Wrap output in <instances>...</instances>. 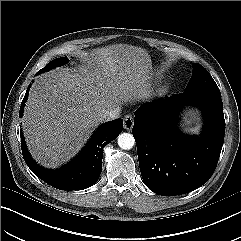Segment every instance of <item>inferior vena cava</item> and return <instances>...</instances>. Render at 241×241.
Segmentation results:
<instances>
[{"instance_id": "inferior-vena-cava-1", "label": "inferior vena cava", "mask_w": 241, "mask_h": 241, "mask_svg": "<svg viewBox=\"0 0 241 241\" xmlns=\"http://www.w3.org/2000/svg\"><path fill=\"white\" fill-rule=\"evenodd\" d=\"M120 115V107L113 108L111 110H106L100 115L101 121H110L118 118Z\"/></svg>"}]
</instances>
